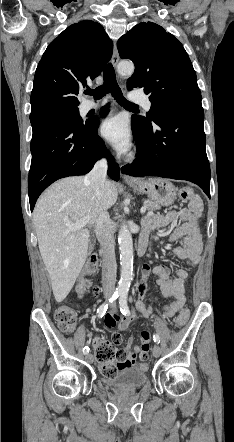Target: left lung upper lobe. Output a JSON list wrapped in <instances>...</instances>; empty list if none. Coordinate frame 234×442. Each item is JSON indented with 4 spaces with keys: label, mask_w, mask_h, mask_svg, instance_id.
Returning <instances> with one entry per match:
<instances>
[{
    "label": "left lung upper lobe",
    "mask_w": 234,
    "mask_h": 442,
    "mask_svg": "<svg viewBox=\"0 0 234 442\" xmlns=\"http://www.w3.org/2000/svg\"><path fill=\"white\" fill-rule=\"evenodd\" d=\"M119 55L134 62L135 71L127 88H143L151 109L147 118L132 117V131L151 125V120L168 108L201 105L197 77L182 44L161 26L143 22L134 26L117 42Z\"/></svg>",
    "instance_id": "5c2ea615"
}]
</instances>
